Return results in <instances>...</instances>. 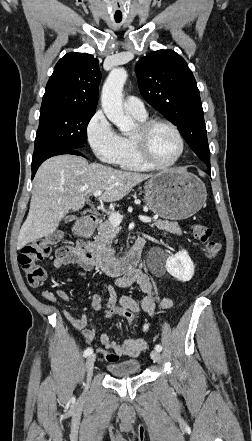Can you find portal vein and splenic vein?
<instances>
[{"instance_id":"18ae733b","label":"portal vein and splenic vein","mask_w":252,"mask_h":441,"mask_svg":"<svg viewBox=\"0 0 252 441\" xmlns=\"http://www.w3.org/2000/svg\"><path fill=\"white\" fill-rule=\"evenodd\" d=\"M93 196L97 197V196H101L102 195V191L98 190L92 193ZM108 217H109V221L113 226H118L122 219H123V215L116 213V212H108ZM140 221L144 222V223H149L152 221V219L150 217L147 216H140L139 217Z\"/></svg>"}]
</instances>
